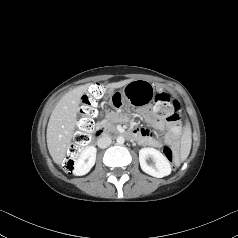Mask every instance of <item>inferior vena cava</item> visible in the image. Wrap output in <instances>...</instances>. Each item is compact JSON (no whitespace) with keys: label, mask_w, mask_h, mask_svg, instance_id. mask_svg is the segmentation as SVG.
Instances as JSON below:
<instances>
[{"label":"inferior vena cava","mask_w":238,"mask_h":238,"mask_svg":"<svg viewBox=\"0 0 238 238\" xmlns=\"http://www.w3.org/2000/svg\"><path fill=\"white\" fill-rule=\"evenodd\" d=\"M112 140L108 135H102L99 139H98V147L100 148H107L110 144H111Z\"/></svg>","instance_id":"1"}]
</instances>
